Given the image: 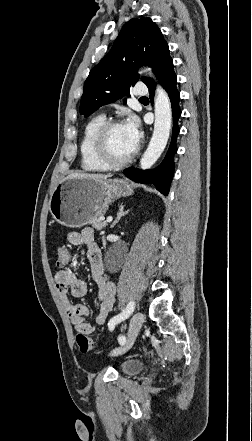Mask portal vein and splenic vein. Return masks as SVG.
Listing matches in <instances>:
<instances>
[{
  "instance_id": "18ae733b",
  "label": "portal vein and splenic vein",
  "mask_w": 252,
  "mask_h": 441,
  "mask_svg": "<svg viewBox=\"0 0 252 441\" xmlns=\"http://www.w3.org/2000/svg\"><path fill=\"white\" fill-rule=\"evenodd\" d=\"M113 218L111 216L107 217L106 222L110 223L112 222Z\"/></svg>"
}]
</instances>
